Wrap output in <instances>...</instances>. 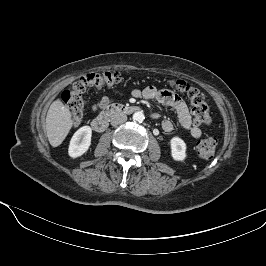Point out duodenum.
Here are the masks:
<instances>
[{
  "label": "duodenum",
  "mask_w": 266,
  "mask_h": 266,
  "mask_svg": "<svg viewBox=\"0 0 266 266\" xmlns=\"http://www.w3.org/2000/svg\"><path fill=\"white\" fill-rule=\"evenodd\" d=\"M139 108L134 105H124L112 103L104 107L101 113L92 120V128L97 132H103L109 125L110 119L118 114H132L137 112Z\"/></svg>",
  "instance_id": "obj_1"
}]
</instances>
